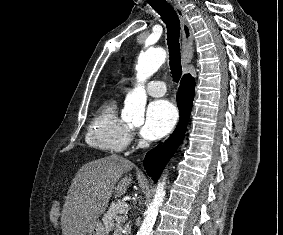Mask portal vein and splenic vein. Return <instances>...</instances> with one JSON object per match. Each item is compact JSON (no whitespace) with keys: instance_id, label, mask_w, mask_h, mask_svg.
<instances>
[{"instance_id":"1","label":"portal vein and splenic vein","mask_w":283,"mask_h":235,"mask_svg":"<svg viewBox=\"0 0 283 235\" xmlns=\"http://www.w3.org/2000/svg\"><path fill=\"white\" fill-rule=\"evenodd\" d=\"M116 221H120V218H116Z\"/></svg>"}]
</instances>
